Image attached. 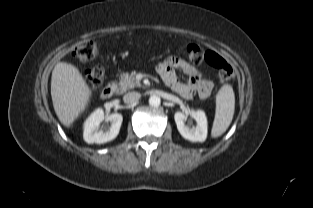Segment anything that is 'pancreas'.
Returning <instances> with one entry per match:
<instances>
[{"label": "pancreas", "mask_w": 313, "mask_h": 208, "mask_svg": "<svg viewBox=\"0 0 313 208\" xmlns=\"http://www.w3.org/2000/svg\"><path fill=\"white\" fill-rule=\"evenodd\" d=\"M140 86H141L140 82L137 81L135 78V73H131V74L125 73L122 75L120 79L117 93L122 94L129 89H133L135 87H140Z\"/></svg>", "instance_id": "pancreas-1"}]
</instances>
